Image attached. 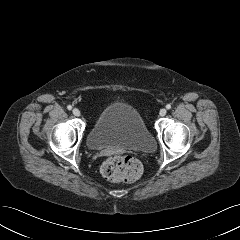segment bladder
I'll use <instances>...</instances> for the list:
<instances>
[{
  "mask_svg": "<svg viewBox=\"0 0 240 240\" xmlns=\"http://www.w3.org/2000/svg\"><path fill=\"white\" fill-rule=\"evenodd\" d=\"M87 145L92 150L115 148L151 152L155 141L134 107L115 102L106 106L95 120Z\"/></svg>",
  "mask_w": 240,
  "mask_h": 240,
  "instance_id": "31cf9c89",
  "label": "bladder"
}]
</instances>
